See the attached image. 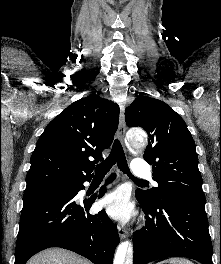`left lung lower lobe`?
Returning <instances> with one entry per match:
<instances>
[{
	"label": "left lung lower lobe",
	"instance_id": "0a47b994",
	"mask_svg": "<svg viewBox=\"0 0 221 264\" xmlns=\"http://www.w3.org/2000/svg\"><path fill=\"white\" fill-rule=\"evenodd\" d=\"M146 224L133 234V264L187 257L213 264L205 203L173 197L147 202L136 195Z\"/></svg>",
	"mask_w": 221,
	"mask_h": 264
}]
</instances>
